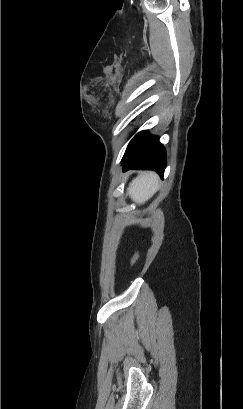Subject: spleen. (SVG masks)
Here are the masks:
<instances>
[{"instance_id":"spleen-1","label":"spleen","mask_w":243,"mask_h":409,"mask_svg":"<svg viewBox=\"0 0 243 409\" xmlns=\"http://www.w3.org/2000/svg\"><path fill=\"white\" fill-rule=\"evenodd\" d=\"M158 188V176L147 172L135 178L129 185L128 192L133 201L144 203Z\"/></svg>"}]
</instances>
